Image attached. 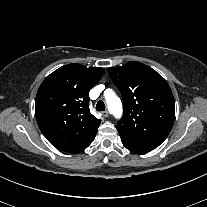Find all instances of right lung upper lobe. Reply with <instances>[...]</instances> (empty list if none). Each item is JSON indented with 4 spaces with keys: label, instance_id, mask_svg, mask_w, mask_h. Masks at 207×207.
Segmentation results:
<instances>
[{
    "label": "right lung upper lobe",
    "instance_id": "1",
    "mask_svg": "<svg viewBox=\"0 0 207 207\" xmlns=\"http://www.w3.org/2000/svg\"><path fill=\"white\" fill-rule=\"evenodd\" d=\"M103 68L68 64L40 85L35 103L38 126L57 148L72 152L94 136L101 120L90 113L89 91L101 79Z\"/></svg>",
    "mask_w": 207,
    "mask_h": 207
}]
</instances>
